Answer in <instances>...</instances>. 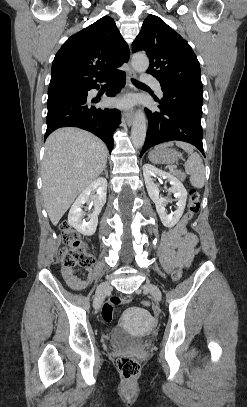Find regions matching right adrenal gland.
I'll return each mask as SVG.
<instances>
[{"instance_id": "obj_1", "label": "right adrenal gland", "mask_w": 247, "mask_h": 407, "mask_svg": "<svg viewBox=\"0 0 247 407\" xmlns=\"http://www.w3.org/2000/svg\"><path fill=\"white\" fill-rule=\"evenodd\" d=\"M102 174H105V176L108 178V171H107L106 167L104 168V172Z\"/></svg>"}]
</instances>
